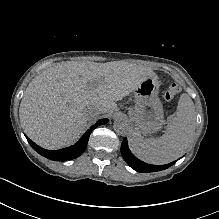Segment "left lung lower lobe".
<instances>
[{"label":"left lung lower lobe","mask_w":219,"mask_h":219,"mask_svg":"<svg viewBox=\"0 0 219 219\" xmlns=\"http://www.w3.org/2000/svg\"><path fill=\"white\" fill-rule=\"evenodd\" d=\"M121 154L124 158V160L127 162L129 166H131L133 169H135L138 172L141 173H147V172H157L161 170H165L172 166L176 161L171 162L169 164L165 165H152L147 164L139 159H137L129 150L127 139H124L121 144Z\"/></svg>","instance_id":"0a47b994"}]
</instances>
